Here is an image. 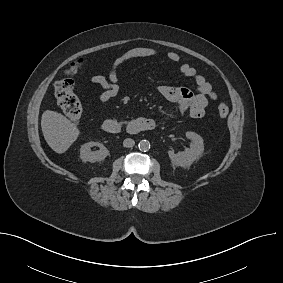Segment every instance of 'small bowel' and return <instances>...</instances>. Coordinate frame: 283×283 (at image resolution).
<instances>
[{"instance_id": "1", "label": "small bowel", "mask_w": 283, "mask_h": 283, "mask_svg": "<svg viewBox=\"0 0 283 283\" xmlns=\"http://www.w3.org/2000/svg\"><path fill=\"white\" fill-rule=\"evenodd\" d=\"M159 52L151 47L131 48L114 59L105 74L92 76L90 84L99 86L101 92L98 100L107 102L119 94V76L120 67L135 59L157 57ZM167 60L179 64L181 74L187 78H192L195 82V92L185 87L160 85L157 87L158 94L167 101L176 103L181 114H188L192 118H201L209 100H216L217 95L212 85L204 76L197 73L196 69L190 64L181 61V57L176 52H168Z\"/></svg>"}]
</instances>
